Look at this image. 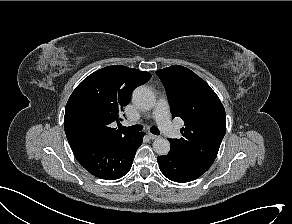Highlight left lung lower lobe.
<instances>
[{"label":"left lung lower lobe","mask_w":292,"mask_h":224,"mask_svg":"<svg viewBox=\"0 0 292 224\" xmlns=\"http://www.w3.org/2000/svg\"><path fill=\"white\" fill-rule=\"evenodd\" d=\"M157 161L163 175L174 182L193 181L208 170L172 148L168 155L159 156Z\"/></svg>","instance_id":"1"}]
</instances>
